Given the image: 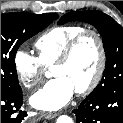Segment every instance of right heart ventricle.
<instances>
[{
	"label": "right heart ventricle",
	"mask_w": 123,
	"mask_h": 123,
	"mask_svg": "<svg viewBox=\"0 0 123 123\" xmlns=\"http://www.w3.org/2000/svg\"><path fill=\"white\" fill-rule=\"evenodd\" d=\"M82 30L84 28L80 25H66L55 26L45 31L34 43L41 63L46 67L52 66L70 39Z\"/></svg>",
	"instance_id": "e07e8e85"
}]
</instances>
